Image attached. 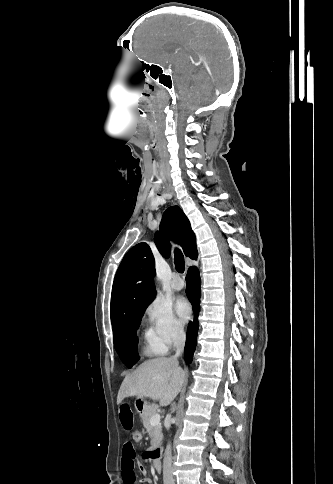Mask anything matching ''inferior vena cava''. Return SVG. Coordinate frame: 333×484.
<instances>
[{"mask_svg": "<svg viewBox=\"0 0 333 484\" xmlns=\"http://www.w3.org/2000/svg\"><path fill=\"white\" fill-rule=\"evenodd\" d=\"M173 344L176 348V354L173 356L174 359H177L178 356L183 352L184 345H185V333L183 328H178L175 331V335L173 338ZM163 483L164 484H175L173 475H172V454H171V445L168 443L163 459Z\"/></svg>", "mask_w": 333, "mask_h": 484, "instance_id": "1", "label": "inferior vena cava"}]
</instances>
